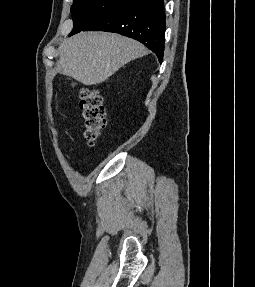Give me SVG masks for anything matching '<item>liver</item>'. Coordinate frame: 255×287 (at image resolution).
<instances>
[{"label":"liver","mask_w":255,"mask_h":287,"mask_svg":"<svg viewBox=\"0 0 255 287\" xmlns=\"http://www.w3.org/2000/svg\"><path fill=\"white\" fill-rule=\"evenodd\" d=\"M60 50L65 74L85 86L102 84L121 66L148 52L136 40L105 32H81L65 40Z\"/></svg>","instance_id":"obj_1"}]
</instances>
